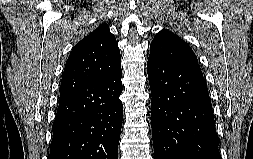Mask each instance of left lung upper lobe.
Instances as JSON below:
<instances>
[{"label":"left lung upper lobe","instance_id":"1","mask_svg":"<svg viewBox=\"0 0 253 159\" xmlns=\"http://www.w3.org/2000/svg\"><path fill=\"white\" fill-rule=\"evenodd\" d=\"M149 58L167 62L198 64V60L189 45L166 29L158 32L154 37L150 45Z\"/></svg>","mask_w":253,"mask_h":159}]
</instances>
